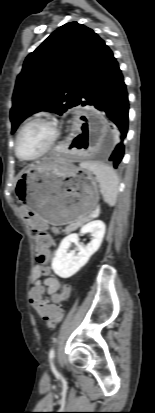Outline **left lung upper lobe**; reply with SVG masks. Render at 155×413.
<instances>
[{
    "label": "left lung upper lobe",
    "mask_w": 155,
    "mask_h": 413,
    "mask_svg": "<svg viewBox=\"0 0 155 413\" xmlns=\"http://www.w3.org/2000/svg\"><path fill=\"white\" fill-rule=\"evenodd\" d=\"M108 46L77 22L62 25L24 61L10 111L12 133L41 110L62 115L81 103L85 86Z\"/></svg>",
    "instance_id": "obj_1"
}]
</instances>
